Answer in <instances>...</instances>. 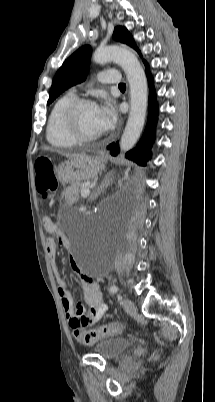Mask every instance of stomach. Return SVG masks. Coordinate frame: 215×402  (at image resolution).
I'll list each match as a JSON object with an SVG mask.
<instances>
[{
    "label": "stomach",
    "instance_id": "1",
    "mask_svg": "<svg viewBox=\"0 0 215 402\" xmlns=\"http://www.w3.org/2000/svg\"><path fill=\"white\" fill-rule=\"evenodd\" d=\"M105 166V159L79 155L56 167V175L63 184H75L98 175Z\"/></svg>",
    "mask_w": 215,
    "mask_h": 402
}]
</instances>
